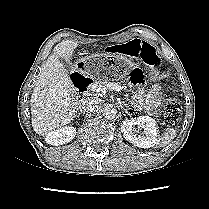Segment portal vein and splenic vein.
Here are the masks:
<instances>
[{
	"label": "portal vein and splenic vein",
	"instance_id": "portal-vein-and-splenic-vein-1",
	"mask_svg": "<svg viewBox=\"0 0 209 209\" xmlns=\"http://www.w3.org/2000/svg\"><path fill=\"white\" fill-rule=\"evenodd\" d=\"M109 88H110V89H114V90H116V91H118V92H121V91L123 90V87H122V86H120V85H118V84H116V83L108 82V83H106L104 86H101V87H99V88H97V89L95 90L96 95H98V96H103V95H105L107 89H109Z\"/></svg>",
	"mask_w": 209,
	"mask_h": 209
}]
</instances>
